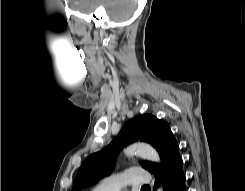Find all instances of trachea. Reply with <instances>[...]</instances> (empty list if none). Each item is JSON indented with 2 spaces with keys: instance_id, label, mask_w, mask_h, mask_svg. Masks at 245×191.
<instances>
[{
  "instance_id": "obj_1",
  "label": "trachea",
  "mask_w": 245,
  "mask_h": 191,
  "mask_svg": "<svg viewBox=\"0 0 245 191\" xmlns=\"http://www.w3.org/2000/svg\"><path fill=\"white\" fill-rule=\"evenodd\" d=\"M148 188H149V186L148 185H145L141 189H148Z\"/></svg>"
}]
</instances>
